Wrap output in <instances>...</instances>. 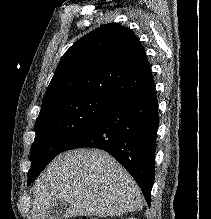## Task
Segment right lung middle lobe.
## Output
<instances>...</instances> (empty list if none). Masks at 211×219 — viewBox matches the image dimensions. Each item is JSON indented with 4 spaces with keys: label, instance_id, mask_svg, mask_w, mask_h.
<instances>
[{
    "label": "right lung middle lobe",
    "instance_id": "1",
    "mask_svg": "<svg viewBox=\"0 0 211 219\" xmlns=\"http://www.w3.org/2000/svg\"><path fill=\"white\" fill-rule=\"evenodd\" d=\"M114 104L100 97L74 98L55 103L39 114L35 124L36 136L31 147L28 184Z\"/></svg>",
    "mask_w": 211,
    "mask_h": 219
}]
</instances>
